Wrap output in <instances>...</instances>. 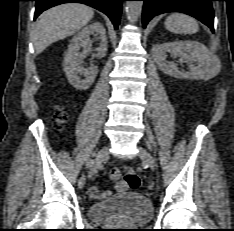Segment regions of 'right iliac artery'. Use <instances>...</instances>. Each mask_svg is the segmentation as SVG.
<instances>
[{
	"label": "right iliac artery",
	"mask_w": 234,
	"mask_h": 231,
	"mask_svg": "<svg viewBox=\"0 0 234 231\" xmlns=\"http://www.w3.org/2000/svg\"><path fill=\"white\" fill-rule=\"evenodd\" d=\"M98 167H91L89 171V177H92L95 173H97Z\"/></svg>",
	"instance_id": "right-iliac-artery-1"
}]
</instances>
